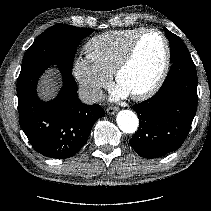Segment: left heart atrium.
I'll return each instance as SVG.
<instances>
[{"label": "left heart atrium", "instance_id": "1", "mask_svg": "<svg viewBox=\"0 0 211 211\" xmlns=\"http://www.w3.org/2000/svg\"><path fill=\"white\" fill-rule=\"evenodd\" d=\"M112 94L115 99L126 98L130 95V93L119 84L113 88Z\"/></svg>", "mask_w": 211, "mask_h": 211}]
</instances>
